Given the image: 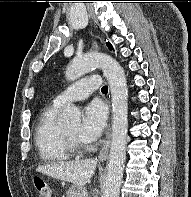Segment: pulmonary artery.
<instances>
[{
  "mask_svg": "<svg viewBox=\"0 0 191 197\" xmlns=\"http://www.w3.org/2000/svg\"><path fill=\"white\" fill-rule=\"evenodd\" d=\"M100 85L101 82L98 76H89L67 87L54 98L53 102L62 107L69 102L85 99L97 90Z\"/></svg>",
  "mask_w": 191,
  "mask_h": 197,
  "instance_id": "obj_1",
  "label": "pulmonary artery"
}]
</instances>
